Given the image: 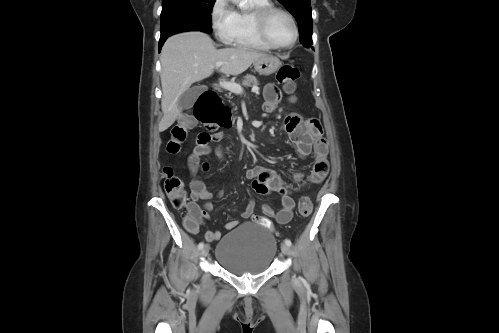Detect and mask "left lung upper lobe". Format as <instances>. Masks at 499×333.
<instances>
[{"instance_id": "left-lung-upper-lobe-1", "label": "left lung upper lobe", "mask_w": 499, "mask_h": 333, "mask_svg": "<svg viewBox=\"0 0 499 333\" xmlns=\"http://www.w3.org/2000/svg\"><path fill=\"white\" fill-rule=\"evenodd\" d=\"M295 17L299 27L300 42L312 45V10L310 0H278Z\"/></svg>"}]
</instances>
